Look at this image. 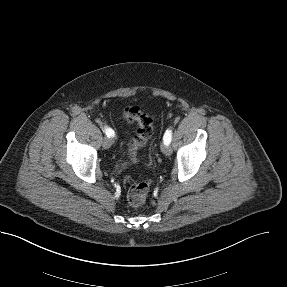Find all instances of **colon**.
<instances>
[{"mask_svg":"<svg viewBox=\"0 0 287 287\" xmlns=\"http://www.w3.org/2000/svg\"><path fill=\"white\" fill-rule=\"evenodd\" d=\"M124 117L127 121L137 125L136 135L129 143V153L131 158H135L137 151L143 147L150 139L153 133L152 118L142 112L138 107H129L124 111ZM149 191V186L146 182L134 183L127 195L130 205L140 206L144 203Z\"/></svg>","mask_w":287,"mask_h":287,"instance_id":"colon-1","label":"colon"}]
</instances>
